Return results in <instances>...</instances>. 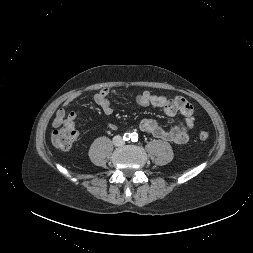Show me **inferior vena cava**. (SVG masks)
Masks as SVG:
<instances>
[{
  "mask_svg": "<svg viewBox=\"0 0 253 253\" xmlns=\"http://www.w3.org/2000/svg\"><path fill=\"white\" fill-rule=\"evenodd\" d=\"M113 143L116 146H121L124 144V141L122 140L121 136H116L114 137Z\"/></svg>",
  "mask_w": 253,
  "mask_h": 253,
  "instance_id": "inferior-vena-cava-1",
  "label": "inferior vena cava"
}]
</instances>
